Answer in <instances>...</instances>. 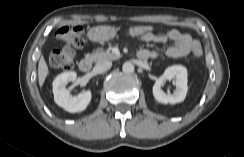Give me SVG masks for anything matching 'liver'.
Segmentation results:
<instances>
[{
    "label": "liver",
    "instance_id": "1",
    "mask_svg": "<svg viewBox=\"0 0 244 157\" xmlns=\"http://www.w3.org/2000/svg\"><path fill=\"white\" fill-rule=\"evenodd\" d=\"M48 73H49V69L47 63L44 57L41 56L38 63V82L40 87L43 86Z\"/></svg>",
    "mask_w": 244,
    "mask_h": 157
}]
</instances>
